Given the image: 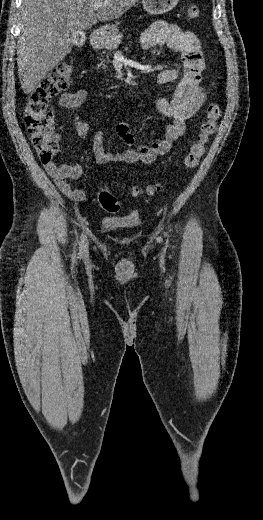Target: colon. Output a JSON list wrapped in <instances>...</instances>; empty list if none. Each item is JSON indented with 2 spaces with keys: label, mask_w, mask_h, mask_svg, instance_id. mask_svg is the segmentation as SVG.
Instances as JSON below:
<instances>
[{
  "label": "colon",
  "mask_w": 263,
  "mask_h": 520,
  "mask_svg": "<svg viewBox=\"0 0 263 520\" xmlns=\"http://www.w3.org/2000/svg\"><path fill=\"white\" fill-rule=\"evenodd\" d=\"M186 16L190 20L200 19L199 7L194 4L190 5L187 8ZM71 75L72 67L69 64H59L30 92L25 104V126L37 156L43 163L51 162L59 151V142L53 133V109L50 102L70 85ZM220 117V106L217 103L210 104L206 110L205 119L200 125L196 141L183 159L185 169H193L198 165L206 145L216 131ZM158 190H160L158 184L150 185L146 189L149 194ZM132 193L137 196L141 190L135 187ZM98 201L107 212L115 213L120 209L117 197L106 189L100 191Z\"/></svg>",
  "instance_id": "1"
}]
</instances>
